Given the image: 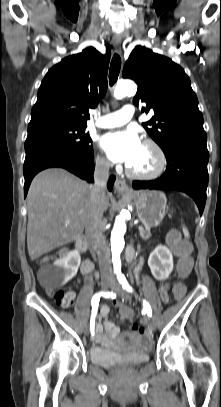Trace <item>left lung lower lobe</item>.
Masks as SVG:
<instances>
[{
    "mask_svg": "<svg viewBox=\"0 0 221 407\" xmlns=\"http://www.w3.org/2000/svg\"><path fill=\"white\" fill-rule=\"evenodd\" d=\"M207 137L203 133L188 132L175 137L164 151L167 158L165 173L156 180L134 181V189L177 190L191 196L200 215L206 202L208 185Z\"/></svg>",
    "mask_w": 221,
    "mask_h": 407,
    "instance_id": "1",
    "label": "left lung lower lobe"
}]
</instances>
